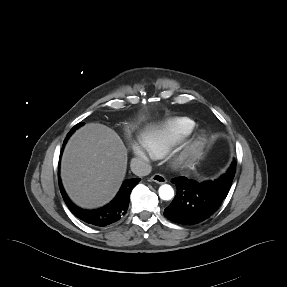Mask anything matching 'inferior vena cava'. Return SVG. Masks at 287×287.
I'll use <instances>...</instances> for the list:
<instances>
[{"label":"inferior vena cava","mask_w":287,"mask_h":287,"mask_svg":"<svg viewBox=\"0 0 287 287\" xmlns=\"http://www.w3.org/2000/svg\"><path fill=\"white\" fill-rule=\"evenodd\" d=\"M130 167H131L132 172L139 177L150 174L152 170V167L150 166V164H148L146 161L139 159V158H133L131 160Z\"/></svg>","instance_id":"1"}]
</instances>
